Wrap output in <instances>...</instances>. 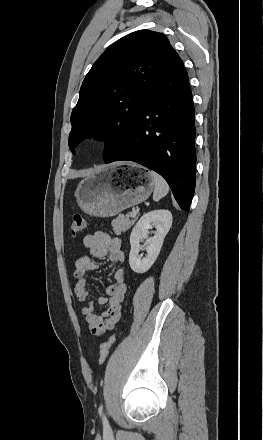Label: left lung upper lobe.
<instances>
[{
	"mask_svg": "<svg viewBox=\"0 0 263 440\" xmlns=\"http://www.w3.org/2000/svg\"><path fill=\"white\" fill-rule=\"evenodd\" d=\"M174 53L167 37L149 30L110 45L86 75L72 111V152L88 137L107 139L105 162L126 151L138 113Z\"/></svg>",
	"mask_w": 263,
	"mask_h": 440,
	"instance_id": "obj_1",
	"label": "left lung upper lobe"
}]
</instances>
